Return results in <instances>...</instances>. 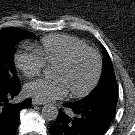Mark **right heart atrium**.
<instances>
[{
	"instance_id": "right-heart-atrium-1",
	"label": "right heart atrium",
	"mask_w": 135,
	"mask_h": 135,
	"mask_svg": "<svg viewBox=\"0 0 135 135\" xmlns=\"http://www.w3.org/2000/svg\"><path fill=\"white\" fill-rule=\"evenodd\" d=\"M16 67L26 78H33L39 75L43 68L44 62L36 50L19 51L14 57Z\"/></svg>"
}]
</instances>
